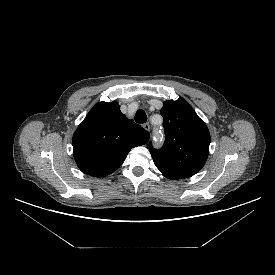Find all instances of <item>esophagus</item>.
Segmentation results:
<instances>
[{"instance_id": "obj_1", "label": "esophagus", "mask_w": 275, "mask_h": 275, "mask_svg": "<svg viewBox=\"0 0 275 275\" xmlns=\"http://www.w3.org/2000/svg\"><path fill=\"white\" fill-rule=\"evenodd\" d=\"M143 128H144L146 131H150V125H149V123L143 124Z\"/></svg>"}]
</instances>
